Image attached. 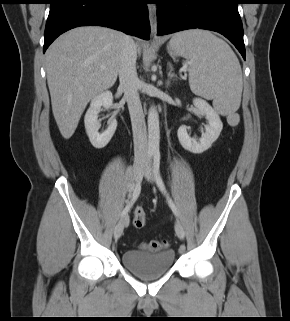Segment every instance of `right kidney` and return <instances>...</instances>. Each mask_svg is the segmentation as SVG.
Masks as SVG:
<instances>
[{"label":"right kidney","instance_id":"obj_1","mask_svg":"<svg viewBox=\"0 0 290 321\" xmlns=\"http://www.w3.org/2000/svg\"><path fill=\"white\" fill-rule=\"evenodd\" d=\"M112 103V93L110 91L102 92L91 100L90 107L84 117L86 133L91 144L97 149H101L109 143L117 127V121L113 118L104 132H98L100 128L98 114L102 107L109 109Z\"/></svg>","mask_w":290,"mask_h":321}]
</instances>
